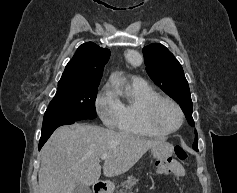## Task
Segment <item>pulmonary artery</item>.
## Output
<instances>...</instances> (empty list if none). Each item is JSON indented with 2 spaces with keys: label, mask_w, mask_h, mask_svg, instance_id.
<instances>
[{
  "label": "pulmonary artery",
  "mask_w": 237,
  "mask_h": 193,
  "mask_svg": "<svg viewBox=\"0 0 237 193\" xmlns=\"http://www.w3.org/2000/svg\"><path fill=\"white\" fill-rule=\"evenodd\" d=\"M133 80L134 81H143L140 77H137V76L133 77Z\"/></svg>",
  "instance_id": "e3ab8cb5"
}]
</instances>
